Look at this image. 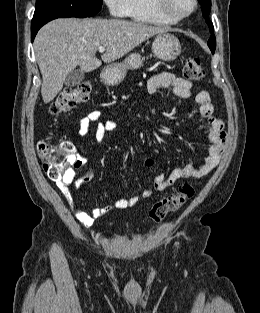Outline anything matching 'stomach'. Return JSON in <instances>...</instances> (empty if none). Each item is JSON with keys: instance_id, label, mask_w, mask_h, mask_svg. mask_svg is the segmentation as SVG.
I'll list each match as a JSON object with an SVG mask.
<instances>
[{"instance_id": "stomach-1", "label": "stomach", "mask_w": 260, "mask_h": 313, "mask_svg": "<svg viewBox=\"0 0 260 313\" xmlns=\"http://www.w3.org/2000/svg\"><path fill=\"white\" fill-rule=\"evenodd\" d=\"M152 51L156 57L164 61H173L181 53L178 38L169 33H158L152 44ZM142 65L140 55L133 53L122 63H112L105 67L101 74L102 80L109 85H116L123 81L129 69H138Z\"/></svg>"}]
</instances>
